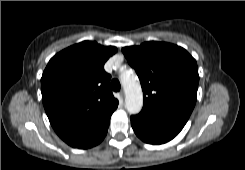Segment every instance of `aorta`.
Returning <instances> with one entry per match:
<instances>
[{
	"instance_id": "obj_1",
	"label": "aorta",
	"mask_w": 245,
	"mask_h": 170,
	"mask_svg": "<svg viewBox=\"0 0 245 170\" xmlns=\"http://www.w3.org/2000/svg\"><path fill=\"white\" fill-rule=\"evenodd\" d=\"M121 82L125 91V108L130 114H137L143 106V95L136 75L127 71L121 75Z\"/></svg>"
}]
</instances>
